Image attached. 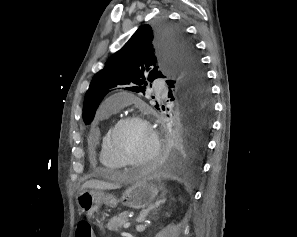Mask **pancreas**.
I'll use <instances>...</instances> for the list:
<instances>
[{"label": "pancreas", "mask_w": 297, "mask_h": 237, "mask_svg": "<svg viewBox=\"0 0 297 237\" xmlns=\"http://www.w3.org/2000/svg\"><path fill=\"white\" fill-rule=\"evenodd\" d=\"M129 212L125 211L120 213L118 216L111 218L106 225V228L110 231L119 230L126 222Z\"/></svg>", "instance_id": "cf45deb5"}]
</instances>
